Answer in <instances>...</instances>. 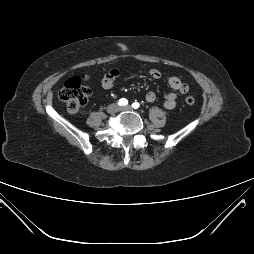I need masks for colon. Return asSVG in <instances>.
<instances>
[{"instance_id":"1","label":"colon","mask_w":254,"mask_h":254,"mask_svg":"<svg viewBox=\"0 0 254 254\" xmlns=\"http://www.w3.org/2000/svg\"><path fill=\"white\" fill-rule=\"evenodd\" d=\"M91 95V90L82 83L81 78L72 77L68 79L60 90V99L66 104L67 110L71 114L78 113L86 105ZM188 105L195 103L193 96L185 98Z\"/></svg>"}]
</instances>
